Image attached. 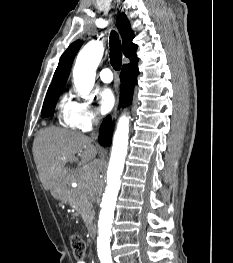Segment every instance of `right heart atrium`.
Listing matches in <instances>:
<instances>
[{
  "instance_id": "d8ad5b80",
  "label": "right heart atrium",
  "mask_w": 233,
  "mask_h": 263,
  "mask_svg": "<svg viewBox=\"0 0 233 263\" xmlns=\"http://www.w3.org/2000/svg\"><path fill=\"white\" fill-rule=\"evenodd\" d=\"M99 122L98 112L95 107L86 101L75 102L74 111L71 116V127L87 132Z\"/></svg>"
}]
</instances>
